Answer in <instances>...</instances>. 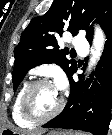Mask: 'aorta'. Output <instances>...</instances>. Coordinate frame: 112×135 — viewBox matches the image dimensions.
Returning <instances> with one entry per match:
<instances>
[{
	"mask_svg": "<svg viewBox=\"0 0 112 135\" xmlns=\"http://www.w3.org/2000/svg\"><path fill=\"white\" fill-rule=\"evenodd\" d=\"M105 42V35L99 26L95 27V34L93 39V47L91 49V58L89 60L87 71L90 72L92 67L99 61L103 52Z\"/></svg>",
	"mask_w": 112,
	"mask_h": 135,
	"instance_id": "obj_1",
	"label": "aorta"
}]
</instances>
